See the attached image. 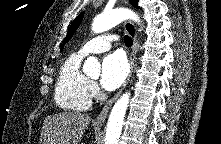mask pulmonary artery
Instances as JSON below:
<instances>
[{"label":"pulmonary artery","instance_id":"e3ab8cb5","mask_svg":"<svg viewBox=\"0 0 221 144\" xmlns=\"http://www.w3.org/2000/svg\"><path fill=\"white\" fill-rule=\"evenodd\" d=\"M117 40L115 35L103 34L92 38L86 42L78 51L81 56H87L93 53H101L111 48L112 42Z\"/></svg>","mask_w":221,"mask_h":144}]
</instances>
